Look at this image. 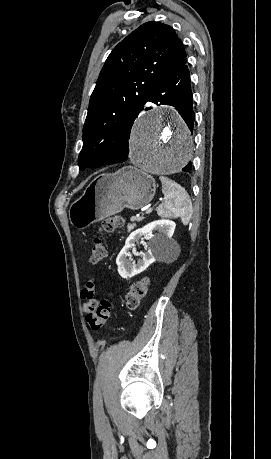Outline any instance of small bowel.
<instances>
[{"mask_svg": "<svg viewBox=\"0 0 271 459\" xmlns=\"http://www.w3.org/2000/svg\"><path fill=\"white\" fill-rule=\"evenodd\" d=\"M95 296V280L90 279L85 283L81 291V298L85 301L84 311L86 312L89 301Z\"/></svg>", "mask_w": 271, "mask_h": 459, "instance_id": "small-bowel-1", "label": "small bowel"}]
</instances>
